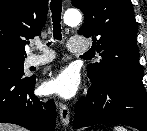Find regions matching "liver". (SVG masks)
Masks as SVG:
<instances>
[{"instance_id": "1", "label": "liver", "mask_w": 147, "mask_h": 131, "mask_svg": "<svg viewBox=\"0 0 147 131\" xmlns=\"http://www.w3.org/2000/svg\"><path fill=\"white\" fill-rule=\"evenodd\" d=\"M0 131H25V130L16 125L0 123Z\"/></svg>"}]
</instances>
